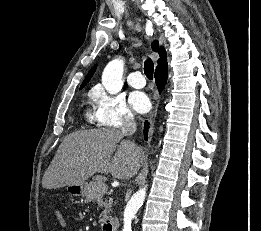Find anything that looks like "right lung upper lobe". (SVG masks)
<instances>
[{
    "mask_svg": "<svg viewBox=\"0 0 261 231\" xmlns=\"http://www.w3.org/2000/svg\"><path fill=\"white\" fill-rule=\"evenodd\" d=\"M158 42L157 41H154L152 43V49L154 51H159V55H160V58L158 59V65L156 67V70L157 69H160L162 68L163 66H166L167 65V62H166V52L165 50L163 49V47H161L159 50H158ZM95 69H96V65L90 69L88 75L86 76L85 80L83 81L82 85H81V88H83L86 83L91 79L92 75L94 74L95 72Z\"/></svg>",
    "mask_w": 261,
    "mask_h": 231,
    "instance_id": "cb5924a9",
    "label": "right lung upper lobe"
}]
</instances>
